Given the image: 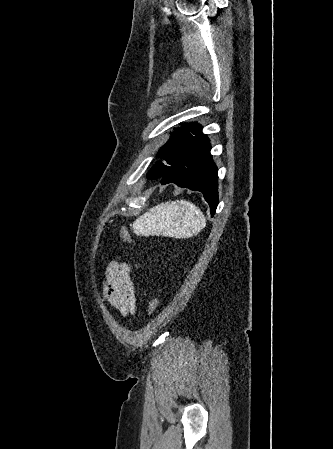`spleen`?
<instances>
[{
    "label": "spleen",
    "mask_w": 333,
    "mask_h": 449,
    "mask_svg": "<svg viewBox=\"0 0 333 449\" xmlns=\"http://www.w3.org/2000/svg\"><path fill=\"white\" fill-rule=\"evenodd\" d=\"M206 226L203 212L193 203L176 200L150 208L136 219V234L190 238Z\"/></svg>",
    "instance_id": "3e777b00"
}]
</instances>
